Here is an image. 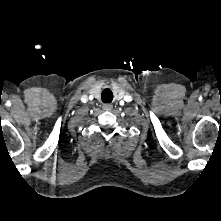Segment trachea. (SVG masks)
I'll return each mask as SVG.
<instances>
[{"mask_svg": "<svg viewBox=\"0 0 221 221\" xmlns=\"http://www.w3.org/2000/svg\"><path fill=\"white\" fill-rule=\"evenodd\" d=\"M101 99L104 103H110L113 100V94L110 89H105L102 92Z\"/></svg>", "mask_w": 221, "mask_h": 221, "instance_id": "obj_1", "label": "trachea"}]
</instances>
